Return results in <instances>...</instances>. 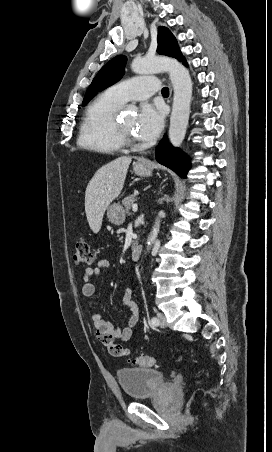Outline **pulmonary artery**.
<instances>
[{"label": "pulmonary artery", "mask_w": 272, "mask_h": 452, "mask_svg": "<svg viewBox=\"0 0 272 452\" xmlns=\"http://www.w3.org/2000/svg\"><path fill=\"white\" fill-rule=\"evenodd\" d=\"M159 81L154 77H133L117 83L108 92L120 103L146 100L158 91Z\"/></svg>", "instance_id": "e3ab8cb5"}]
</instances>
